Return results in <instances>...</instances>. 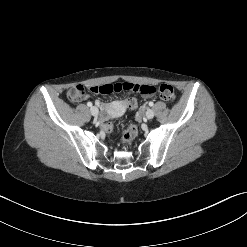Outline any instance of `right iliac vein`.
Listing matches in <instances>:
<instances>
[{
    "instance_id": "63e3f726",
    "label": "right iliac vein",
    "mask_w": 247,
    "mask_h": 247,
    "mask_svg": "<svg viewBox=\"0 0 247 247\" xmlns=\"http://www.w3.org/2000/svg\"><path fill=\"white\" fill-rule=\"evenodd\" d=\"M90 112H91V114H92L93 116H97L98 113H99V110H98L97 107L93 106V107L90 108Z\"/></svg>"
}]
</instances>
